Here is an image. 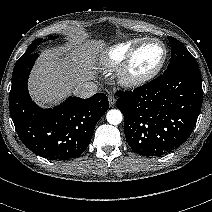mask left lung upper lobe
Instances as JSON below:
<instances>
[{
  "mask_svg": "<svg viewBox=\"0 0 212 212\" xmlns=\"http://www.w3.org/2000/svg\"><path fill=\"white\" fill-rule=\"evenodd\" d=\"M168 40L171 44V61L167 70L164 73L176 70L181 67L198 65L195 58L190 52L183 47V45L175 38L168 36Z\"/></svg>",
  "mask_w": 212,
  "mask_h": 212,
  "instance_id": "5c2ea615",
  "label": "left lung upper lobe"
}]
</instances>
